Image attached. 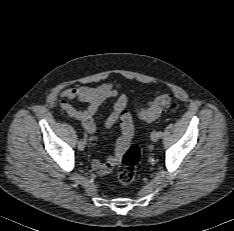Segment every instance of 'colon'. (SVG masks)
<instances>
[{
  "label": "colon",
  "instance_id": "colon-1",
  "mask_svg": "<svg viewBox=\"0 0 234 231\" xmlns=\"http://www.w3.org/2000/svg\"><path fill=\"white\" fill-rule=\"evenodd\" d=\"M170 106V96L166 93H162L157 95L146 108L139 110L137 115L145 122H152ZM139 158V147L135 144L129 145L116 168L114 179L124 185L132 183L136 177Z\"/></svg>",
  "mask_w": 234,
  "mask_h": 231
}]
</instances>
